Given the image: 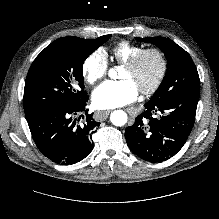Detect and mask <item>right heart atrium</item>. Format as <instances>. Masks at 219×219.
I'll use <instances>...</instances> for the list:
<instances>
[{
  "mask_svg": "<svg viewBox=\"0 0 219 219\" xmlns=\"http://www.w3.org/2000/svg\"><path fill=\"white\" fill-rule=\"evenodd\" d=\"M109 63L105 51L102 49L92 52L84 61L82 72L89 84H95L105 78Z\"/></svg>",
  "mask_w": 219,
  "mask_h": 219,
  "instance_id": "1",
  "label": "right heart atrium"
}]
</instances>
